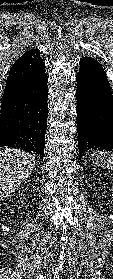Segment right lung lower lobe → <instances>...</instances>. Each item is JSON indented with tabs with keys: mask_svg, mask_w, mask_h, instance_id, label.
<instances>
[{
	"mask_svg": "<svg viewBox=\"0 0 113 279\" xmlns=\"http://www.w3.org/2000/svg\"><path fill=\"white\" fill-rule=\"evenodd\" d=\"M47 82L44 64L1 107L0 148L35 152L43 161L48 115Z\"/></svg>",
	"mask_w": 113,
	"mask_h": 279,
	"instance_id": "right-lung-lower-lobe-1",
	"label": "right lung lower lobe"
}]
</instances>
